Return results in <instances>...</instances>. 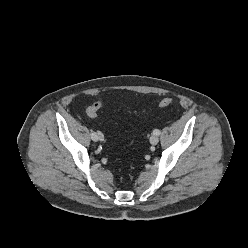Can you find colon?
Returning a JSON list of instances; mask_svg holds the SVG:
<instances>
[{
    "instance_id": "5ec220e1",
    "label": "colon",
    "mask_w": 248,
    "mask_h": 248,
    "mask_svg": "<svg viewBox=\"0 0 248 248\" xmlns=\"http://www.w3.org/2000/svg\"><path fill=\"white\" fill-rule=\"evenodd\" d=\"M174 103V99L171 97H166L163 98L160 102H159V107L164 108V107H168L170 105H172ZM103 106V104L101 102H95L92 105H90L87 108V115L90 118H96L97 117V111Z\"/></svg>"
}]
</instances>
